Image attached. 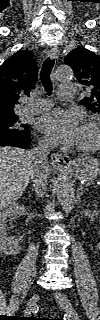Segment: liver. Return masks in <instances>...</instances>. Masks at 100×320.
<instances>
[{
  "label": "liver",
  "instance_id": "6515ba94",
  "mask_svg": "<svg viewBox=\"0 0 100 320\" xmlns=\"http://www.w3.org/2000/svg\"><path fill=\"white\" fill-rule=\"evenodd\" d=\"M34 170L35 160L31 151L6 146L0 148L1 208L8 207L22 196Z\"/></svg>",
  "mask_w": 100,
  "mask_h": 320
}]
</instances>
